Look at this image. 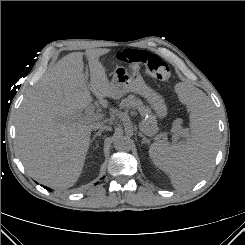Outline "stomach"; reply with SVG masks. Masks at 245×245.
Masks as SVG:
<instances>
[{
	"mask_svg": "<svg viewBox=\"0 0 245 245\" xmlns=\"http://www.w3.org/2000/svg\"><path fill=\"white\" fill-rule=\"evenodd\" d=\"M110 85L115 94L114 98L132 92L145 98L160 119L167 115V106L163 97L149 87L138 72H131L124 66H117Z\"/></svg>",
	"mask_w": 245,
	"mask_h": 245,
	"instance_id": "stomach-1",
	"label": "stomach"
}]
</instances>
